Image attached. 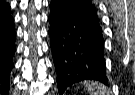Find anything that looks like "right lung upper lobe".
<instances>
[{"instance_id": "right-lung-upper-lobe-1", "label": "right lung upper lobe", "mask_w": 135, "mask_h": 95, "mask_svg": "<svg viewBox=\"0 0 135 95\" xmlns=\"http://www.w3.org/2000/svg\"><path fill=\"white\" fill-rule=\"evenodd\" d=\"M10 14V5L3 0H0V15Z\"/></svg>"}]
</instances>
